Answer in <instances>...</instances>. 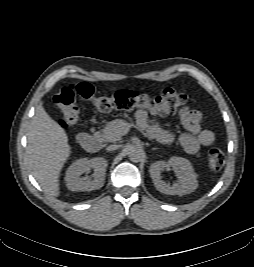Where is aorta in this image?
Segmentation results:
<instances>
[{"label":"aorta","mask_w":254,"mask_h":267,"mask_svg":"<svg viewBox=\"0 0 254 267\" xmlns=\"http://www.w3.org/2000/svg\"><path fill=\"white\" fill-rule=\"evenodd\" d=\"M128 157L132 162H140L144 157V153L138 147L130 146L128 148Z\"/></svg>","instance_id":"762f6f07"}]
</instances>
